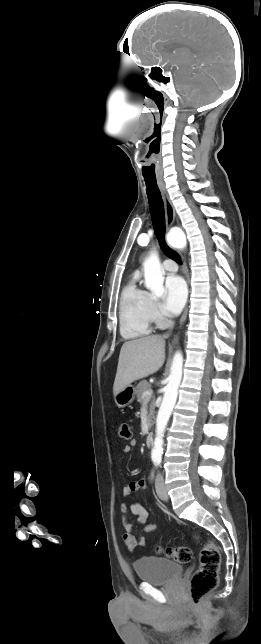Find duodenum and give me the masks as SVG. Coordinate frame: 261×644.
Returning a JSON list of instances; mask_svg holds the SVG:
<instances>
[{"instance_id":"1","label":"duodenum","mask_w":261,"mask_h":644,"mask_svg":"<svg viewBox=\"0 0 261 644\" xmlns=\"http://www.w3.org/2000/svg\"><path fill=\"white\" fill-rule=\"evenodd\" d=\"M153 438H154V435H153V433H152V432H148V433L146 434V436H145V445H146L147 447H150V446L152 445V443H153Z\"/></svg>"}]
</instances>
